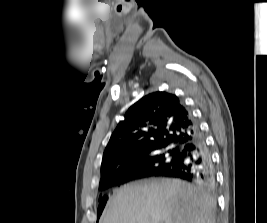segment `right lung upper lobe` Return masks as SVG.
<instances>
[{"mask_svg": "<svg viewBox=\"0 0 267 223\" xmlns=\"http://www.w3.org/2000/svg\"><path fill=\"white\" fill-rule=\"evenodd\" d=\"M196 128L176 95L155 92L143 97L128 109L113 132L103 154L101 181L135 173L141 168L139 160L164 148L180 151L195 138Z\"/></svg>", "mask_w": 267, "mask_h": 223, "instance_id": "cb5924a9", "label": "right lung upper lobe"}]
</instances>
